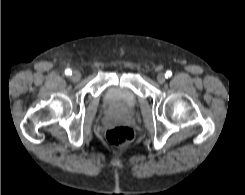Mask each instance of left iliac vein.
I'll return each mask as SVG.
<instances>
[{"instance_id":"obj_1","label":"left iliac vein","mask_w":245,"mask_h":195,"mask_svg":"<svg viewBox=\"0 0 245 195\" xmlns=\"http://www.w3.org/2000/svg\"><path fill=\"white\" fill-rule=\"evenodd\" d=\"M166 80V77H165V74L164 73H159L157 75V81L160 83V84H163Z\"/></svg>"}]
</instances>
